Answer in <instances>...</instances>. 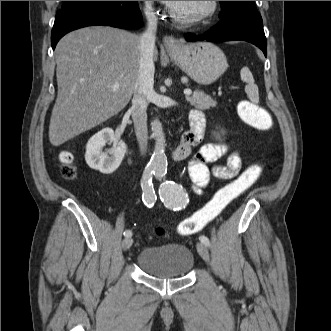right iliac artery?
Masks as SVG:
<instances>
[{
	"instance_id": "right-iliac-artery-1",
	"label": "right iliac artery",
	"mask_w": 331,
	"mask_h": 331,
	"mask_svg": "<svg viewBox=\"0 0 331 331\" xmlns=\"http://www.w3.org/2000/svg\"><path fill=\"white\" fill-rule=\"evenodd\" d=\"M155 173V169L151 166H147L143 173L142 178V200L147 207H152L156 201V194L152 184V175ZM125 237H131V230H126L124 232Z\"/></svg>"
}]
</instances>
